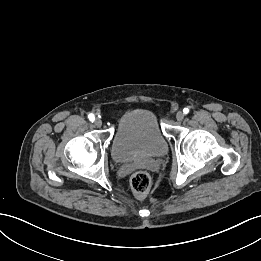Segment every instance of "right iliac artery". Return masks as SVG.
Instances as JSON below:
<instances>
[{
    "instance_id": "1",
    "label": "right iliac artery",
    "mask_w": 261,
    "mask_h": 261,
    "mask_svg": "<svg viewBox=\"0 0 261 261\" xmlns=\"http://www.w3.org/2000/svg\"><path fill=\"white\" fill-rule=\"evenodd\" d=\"M88 118L91 122L95 121V116L92 113L88 115Z\"/></svg>"
}]
</instances>
